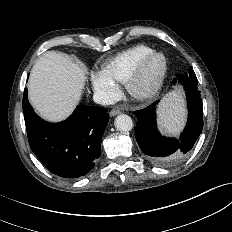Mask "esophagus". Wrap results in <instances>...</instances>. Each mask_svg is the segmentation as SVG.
Wrapping results in <instances>:
<instances>
[{
	"mask_svg": "<svg viewBox=\"0 0 232 232\" xmlns=\"http://www.w3.org/2000/svg\"><path fill=\"white\" fill-rule=\"evenodd\" d=\"M121 113V110L120 109H118V108H114V109H112L111 111H110V116L111 117H113V116H116V115H118V114H120Z\"/></svg>",
	"mask_w": 232,
	"mask_h": 232,
	"instance_id": "34e87169",
	"label": "esophagus"
}]
</instances>
